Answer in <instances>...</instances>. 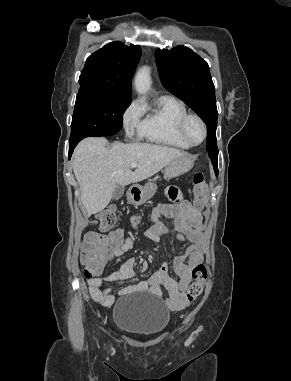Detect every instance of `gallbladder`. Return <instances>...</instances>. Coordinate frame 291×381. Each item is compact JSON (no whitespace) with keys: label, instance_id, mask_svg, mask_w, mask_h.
Here are the masks:
<instances>
[{"label":"gallbladder","instance_id":"bac80fb5","mask_svg":"<svg viewBox=\"0 0 291 381\" xmlns=\"http://www.w3.org/2000/svg\"><path fill=\"white\" fill-rule=\"evenodd\" d=\"M124 194V186L122 185H116V188L113 193V199L118 200L121 198Z\"/></svg>","mask_w":291,"mask_h":381}]
</instances>
